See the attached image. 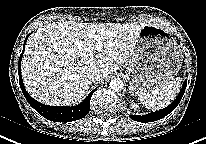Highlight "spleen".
Returning <instances> with one entry per match:
<instances>
[{
    "label": "spleen",
    "instance_id": "spleen-1",
    "mask_svg": "<svg viewBox=\"0 0 206 144\" xmlns=\"http://www.w3.org/2000/svg\"><path fill=\"white\" fill-rule=\"evenodd\" d=\"M181 78H172L166 81L161 87L139 95V100L148 109L159 110L166 107L176 97L180 86Z\"/></svg>",
    "mask_w": 206,
    "mask_h": 144
}]
</instances>
